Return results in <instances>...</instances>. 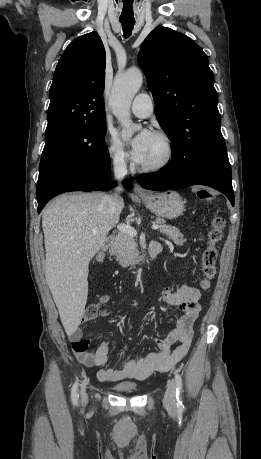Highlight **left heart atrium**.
Instances as JSON below:
<instances>
[{
	"mask_svg": "<svg viewBox=\"0 0 261 459\" xmlns=\"http://www.w3.org/2000/svg\"><path fill=\"white\" fill-rule=\"evenodd\" d=\"M153 137V133L147 129L140 131L131 142L132 158L135 162L142 164L147 147Z\"/></svg>",
	"mask_w": 261,
	"mask_h": 459,
	"instance_id": "left-heart-atrium-1",
	"label": "left heart atrium"
}]
</instances>
